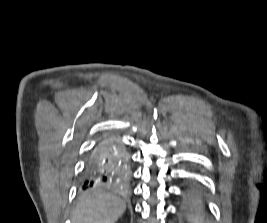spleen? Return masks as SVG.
<instances>
[{
    "mask_svg": "<svg viewBox=\"0 0 267 223\" xmlns=\"http://www.w3.org/2000/svg\"><path fill=\"white\" fill-rule=\"evenodd\" d=\"M189 220L191 223H205L204 216L200 212L190 215Z\"/></svg>",
    "mask_w": 267,
    "mask_h": 223,
    "instance_id": "1",
    "label": "spleen"
}]
</instances>
